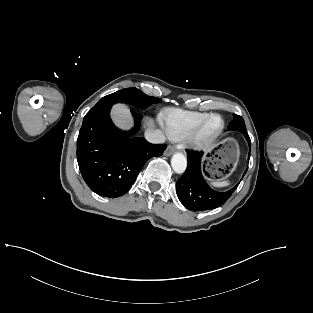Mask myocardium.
Wrapping results in <instances>:
<instances>
[{
    "mask_svg": "<svg viewBox=\"0 0 313 313\" xmlns=\"http://www.w3.org/2000/svg\"><path fill=\"white\" fill-rule=\"evenodd\" d=\"M219 118L221 121L220 128L216 133L213 135L204 138L202 136V132L206 124L212 119V118ZM225 129V121L219 114H209L206 118H204L186 137V142L189 148L195 151H206L210 149L216 141L219 139V137L222 135L223 131Z\"/></svg>",
    "mask_w": 313,
    "mask_h": 313,
    "instance_id": "obj_1",
    "label": "myocardium"
}]
</instances>
